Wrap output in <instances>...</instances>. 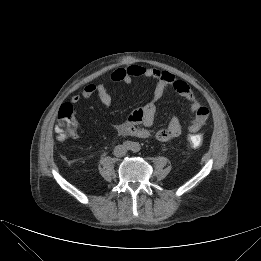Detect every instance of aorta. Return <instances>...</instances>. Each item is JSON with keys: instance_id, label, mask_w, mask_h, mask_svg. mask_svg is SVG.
Segmentation results:
<instances>
[{"instance_id": "1", "label": "aorta", "mask_w": 261, "mask_h": 261, "mask_svg": "<svg viewBox=\"0 0 261 261\" xmlns=\"http://www.w3.org/2000/svg\"><path fill=\"white\" fill-rule=\"evenodd\" d=\"M133 145H134V146H138L137 149H139V145H138V143H134Z\"/></svg>"}]
</instances>
